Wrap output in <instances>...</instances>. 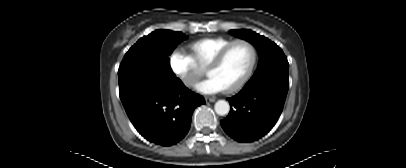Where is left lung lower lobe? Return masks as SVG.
I'll return each instance as SVG.
<instances>
[{"label":"left lung lower lobe","instance_id":"0a47b994","mask_svg":"<svg viewBox=\"0 0 406 168\" xmlns=\"http://www.w3.org/2000/svg\"><path fill=\"white\" fill-rule=\"evenodd\" d=\"M289 89L288 80L262 78L249 81L232 98L228 116L221 120L224 131L238 142H252L276 124Z\"/></svg>","mask_w":406,"mask_h":168}]
</instances>
